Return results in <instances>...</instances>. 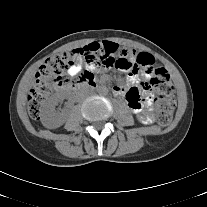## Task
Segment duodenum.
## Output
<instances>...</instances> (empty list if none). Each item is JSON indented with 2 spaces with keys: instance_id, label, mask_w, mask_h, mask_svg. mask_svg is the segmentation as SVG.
<instances>
[{
  "instance_id": "duodenum-1",
  "label": "duodenum",
  "mask_w": 207,
  "mask_h": 207,
  "mask_svg": "<svg viewBox=\"0 0 207 207\" xmlns=\"http://www.w3.org/2000/svg\"><path fill=\"white\" fill-rule=\"evenodd\" d=\"M80 83H81V82H80ZM77 84H79V83H77ZM77 84H75V85H77ZM89 86H94V83L89 82Z\"/></svg>"
}]
</instances>
